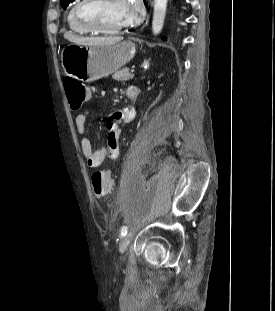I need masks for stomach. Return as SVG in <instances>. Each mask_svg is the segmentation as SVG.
I'll return each mask as SVG.
<instances>
[{"mask_svg":"<svg viewBox=\"0 0 275 311\" xmlns=\"http://www.w3.org/2000/svg\"><path fill=\"white\" fill-rule=\"evenodd\" d=\"M136 45L123 41L110 46H87L71 43L61 52L66 75L86 82L99 80L119 70L135 55Z\"/></svg>","mask_w":275,"mask_h":311,"instance_id":"stomach-1","label":"stomach"}]
</instances>
